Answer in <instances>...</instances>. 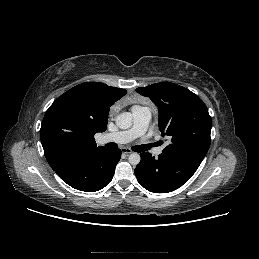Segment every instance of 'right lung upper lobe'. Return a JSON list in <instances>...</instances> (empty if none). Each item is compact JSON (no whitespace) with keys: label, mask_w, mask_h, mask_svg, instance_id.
Returning <instances> with one entry per match:
<instances>
[{"label":"right lung upper lobe","mask_w":259,"mask_h":259,"mask_svg":"<svg viewBox=\"0 0 259 259\" xmlns=\"http://www.w3.org/2000/svg\"><path fill=\"white\" fill-rule=\"evenodd\" d=\"M126 93L104 83L85 82L53 102L40 129L44 154L53 170L71 158L106 149L97 147L94 135L106 130L110 107ZM54 123L70 127L73 137L69 142L57 143L47 137V130Z\"/></svg>","instance_id":"right-lung-upper-lobe-1"}]
</instances>
